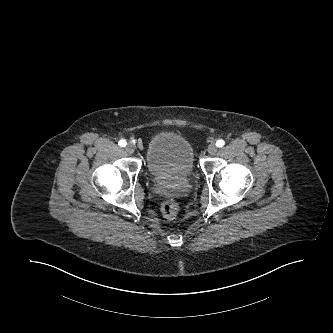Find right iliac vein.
I'll return each instance as SVG.
<instances>
[{
    "label": "right iliac vein",
    "mask_w": 333,
    "mask_h": 333,
    "mask_svg": "<svg viewBox=\"0 0 333 333\" xmlns=\"http://www.w3.org/2000/svg\"><path fill=\"white\" fill-rule=\"evenodd\" d=\"M125 151L128 154H133L135 152V145L133 143H128L127 146L125 147Z\"/></svg>",
    "instance_id": "63e3f726"
}]
</instances>
